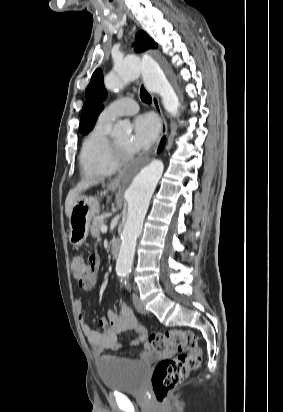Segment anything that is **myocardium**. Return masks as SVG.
<instances>
[{
    "instance_id": "f54148a6",
    "label": "myocardium",
    "mask_w": 283,
    "mask_h": 412,
    "mask_svg": "<svg viewBox=\"0 0 283 412\" xmlns=\"http://www.w3.org/2000/svg\"><path fill=\"white\" fill-rule=\"evenodd\" d=\"M110 150L114 162L119 167L133 160V153L125 152L114 139L110 141Z\"/></svg>"
}]
</instances>
